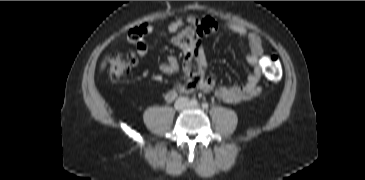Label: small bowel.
Segmentation results:
<instances>
[{"instance_id": "obj_1", "label": "small bowel", "mask_w": 365, "mask_h": 180, "mask_svg": "<svg viewBox=\"0 0 365 180\" xmlns=\"http://www.w3.org/2000/svg\"><path fill=\"white\" fill-rule=\"evenodd\" d=\"M219 29L218 24L211 18H198L190 16L173 20L166 29L155 33L159 37L172 35L171 42L178 47L185 58L182 72L186 82L180 87L186 92L211 91L216 86V79L206 73L207 59L203 48V39L214 34ZM232 33L246 38L249 51L246 60L253 67V72L247 80L241 84L224 85L216 88L215 95L227 103H238L250 100L258 96L262 88L260 86L261 67L260 57L264 52L263 40L255 32H250L239 25H230ZM138 55L145 58L148 53L147 44L141 42L137 46ZM160 70L166 74L177 75L180 73L178 59L170 55L160 64ZM175 91H168L165 95L166 101L175 98Z\"/></svg>"}]
</instances>
